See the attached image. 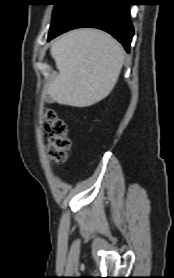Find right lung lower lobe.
I'll return each instance as SVG.
<instances>
[{
    "label": "right lung lower lobe",
    "mask_w": 174,
    "mask_h": 278,
    "mask_svg": "<svg viewBox=\"0 0 174 278\" xmlns=\"http://www.w3.org/2000/svg\"><path fill=\"white\" fill-rule=\"evenodd\" d=\"M128 1L79 0L62 22L50 29L48 41L71 29L93 27L110 33L129 52L134 30L130 21L131 4Z\"/></svg>",
    "instance_id": "right-lung-lower-lobe-1"
}]
</instances>
